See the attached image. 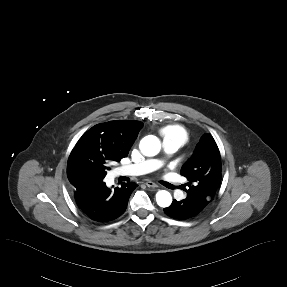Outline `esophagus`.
<instances>
[{"mask_svg": "<svg viewBox=\"0 0 287 287\" xmlns=\"http://www.w3.org/2000/svg\"><path fill=\"white\" fill-rule=\"evenodd\" d=\"M145 184L149 188H157L158 187L155 183H153L151 181H147Z\"/></svg>", "mask_w": 287, "mask_h": 287, "instance_id": "1", "label": "esophagus"}]
</instances>
